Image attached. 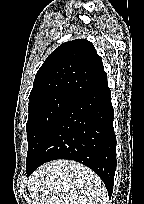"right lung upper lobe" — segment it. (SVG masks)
I'll return each mask as SVG.
<instances>
[{
    "instance_id": "right-lung-upper-lobe-1",
    "label": "right lung upper lobe",
    "mask_w": 144,
    "mask_h": 204,
    "mask_svg": "<svg viewBox=\"0 0 144 204\" xmlns=\"http://www.w3.org/2000/svg\"><path fill=\"white\" fill-rule=\"evenodd\" d=\"M107 80L92 43L77 39L52 52L35 76L29 107L59 94L78 95Z\"/></svg>"
}]
</instances>
